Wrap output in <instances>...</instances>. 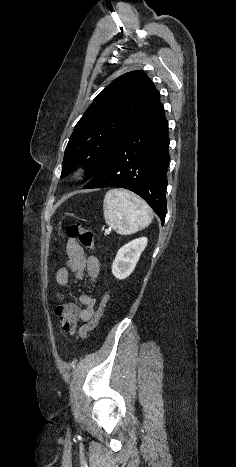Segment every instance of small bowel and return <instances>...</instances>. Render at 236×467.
<instances>
[{
	"instance_id": "1",
	"label": "small bowel",
	"mask_w": 236,
	"mask_h": 467,
	"mask_svg": "<svg viewBox=\"0 0 236 467\" xmlns=\"http://www.w3.org/2000/svg\"><path fill=\"white\" fill-rule=\"evenodd\" d=\"M67 260L65 265L56 273V283L64 288L69 282V274L72 272L77 279H83L87 273L91 280H95L100 273V262L95 256H86L83 248L74 239L66 245ZM62 298L61 292L57 293ZM80 306L75 303H67L56 307L55 315L58 318L61 329L66 334H73L80 321L88 322L95 314V300L92 296L81 295Z\"/></svg>"
}]
</instances>
